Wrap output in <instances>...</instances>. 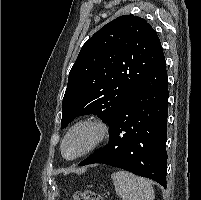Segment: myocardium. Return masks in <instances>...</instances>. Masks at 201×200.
Returning <instances> with one entry per match:
<instances>
[{
	"instance_id": "1",
	"label": "myocardium",
	"mask_w": 201,
	"mask_h": 200,
	"mask_svg": "<svg viewBox=\"0 0 201 200\" xmlns=\"http://www.w3.org/2000/svg\"><path fill=\"white\" fill-rule=\"evenodd\" d=\"M81 127L91 129L94 133V137L91 143L89 144V146L84 151H82L81 153L73 157H67L64 153L65 142L73 131ZM109 136H110V126L105 120L95 116L83 118L75 122L64 135L63 140L61 142V146H60L61 154L66 160H69V161L77 160L91 153L98 147H100L102 144H104L107 141Z\"/></svg>"
}]
</instances>
